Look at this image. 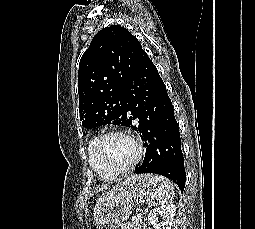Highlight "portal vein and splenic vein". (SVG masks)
Returning <instances> with one entry per match:
<instances>
[{
  "label": "portal vein and splenic vein",
  "instance_id": "obj_1",
  "mask_svg": "<svg viewBox=\"0 0 255 229\" xmlns=\"http://www.w3.org/2000/svg\"><path fill=\"white\" fill-rule=\"evenodd\" d=\"M137 212L140 213V212H141V209H137Z\"/></svg>",
  "mask_w": 255,
  "mask_h": 229
}]
</instances>
